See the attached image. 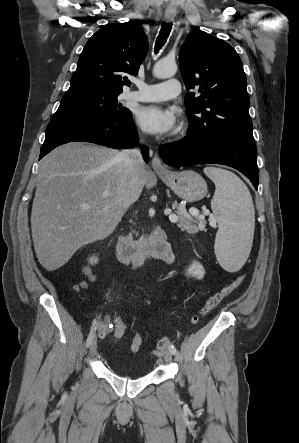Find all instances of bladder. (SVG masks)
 Listing matches in <instances>:
<instances>
[{"label": "bladder", "instance_id": "1", "mask_svg": "<svg viewBox=\"0 0 299 443\" xmlns=\"http://www.w3.org/2000/svg\"><path fill=\"white\" fill-rule=\"evenodd\" d=\"M111 370L119 376L133 379L140 378L145 375V370L140 364H130L129 367L125 369L111 365Z\"/></svg>", "mask_w": 299, "mask_h": 443}]
</instances>
